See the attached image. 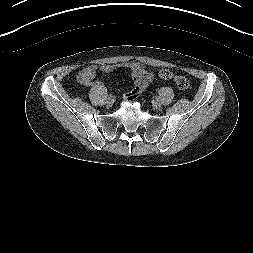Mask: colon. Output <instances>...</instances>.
I'll return each instance as SVG.
<instances>
[{
    "label": "colon",
    "mask_w": 253,
    "mask_h": 253,
    "mask_svg": "<svg viewBox=\"0 0 253 253\" xmlns=\"http://www.w3.org/2000/svg\"><path fill=\"white\" fill-rule=\"evenodd\" d=\"M159 76L162 79L173 80L178 86V88L181 90H186L190 87V82L186 77L181 76V75H176L168 69L161 70L159 72ZM134 84H135L134 88L125 94L128 101H134L138 97H140L147 86L146 81L142 78H135Z\"/></svg>",
    "instance_id": "1"
}]
</instances>
